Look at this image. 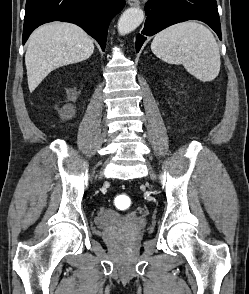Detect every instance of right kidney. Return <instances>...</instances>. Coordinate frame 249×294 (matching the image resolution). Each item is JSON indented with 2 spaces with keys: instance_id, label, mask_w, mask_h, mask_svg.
Returning <instances> with one entry per match:
<instances>
[{
  "instance_id": "1",
  "label": "right kidney",
  "mask_w": 249,
  "mask_h": 294,
  "mask_svg": "<svg viewBox=\"0 0 249 294\" xmlns=\"http://www.w3.org/2000/svg\"><path fill=\"white\" fill-rule=\"evenodd\" d=\"M62 114L65 118H72L75 115V107L72 105L63 106Z\"/></svg>"
}]
</instances>
